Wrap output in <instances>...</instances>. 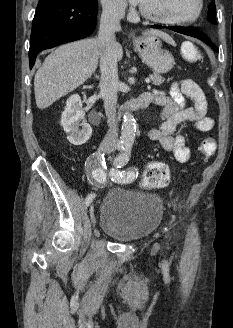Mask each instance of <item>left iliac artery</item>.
I'll use <instances>...</instances> for the list:
<instances>
[{"label": "left iliac artery", "instance_id": "44dca946", "mask_svg": "<svg viewBox=\"0 0 233 328\" xmlns=\"http://www.w3.org/2000/svg\"><path fill=\"white\" fill-rule=\"evenodd\" d=\"M130 159V147L122 149L121 153L116 157L114 161L115 168L110 170V178L116 183H130L137 174L134 171H121L122 168Z\"/></svg>", "mask_w": 233, "mask_h": 328}]
</instances>
